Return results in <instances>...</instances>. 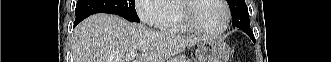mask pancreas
Segmentation results:
<instances>
[{
  "mask_svg": "<svg viewBox=\"0 0 331 62\" xmlns=\"http://www.w3.org/2000/svg\"><path fill=\"white\" fill-rule=\"evenodd\" d=\"M169 62H188L184 56H177L168 60Z\"/></svg>",
  "mask_w": 331,
  "mask_h": 62,
  "instance_id": "pancreas-1",
  "label": "pancreas"
}]
</instances>
